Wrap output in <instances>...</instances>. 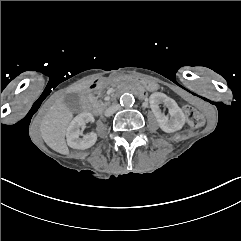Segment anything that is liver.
I'll return each mask as SVG.
<instances>
[{
  "mask_svg": "<svg viewBox=\"0 0 241 241\" xmlns=\"http://www.w3.org/2000/svg\"><path fill=\"white\" fill-rule=\"evenodd\" d=\"M93 82V80L82 82L74 87L71 91L76 92L86 89ZM72 117V112L64 104L63 98H60L50 106L42 120L40 127L41 136L45 143L53 150L64 155L69 153L65 142V135L66 129L72 120Z\"/></svg>",
  "mask_w": 241,
  "mask_h": 241,
  "instance_id": "1",
  "label": "liver"
}]
</instances>
